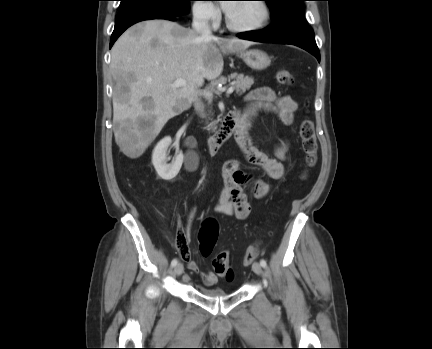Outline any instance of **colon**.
<instances>
[{
  "label": "colon",
  "instance_id": "obj_1",
  "mask_svg": "<svg viewBox=\"0 0 432 349\" xmlns=\"http://www.w3.org/2000/svg\"><path fill=\"white\" fill-rule=\"evenodd\" d=\"M277 82L284 86L293 84V76L291 72L286 69H281L276 74ZM301 145L305 154L306 165L308 168L313 167L317 162L318 144L315 133L314 124L310 119H304L300 124L299 131ZM218 237V226L213 220H208L204 223L200 230L199 241L200 251L202 255L209 256ZM179 243L183 244L180 239ZM259 255V248L252 245L247 248L244 257L243 265L249 266ZM213 269L216 274L226 280L233 279V270L231 266L230 256L228 252H220L212 260Z\"/></svg>",
  "mask_w": 432,
  "mask_h": 349
}]
</instances>
